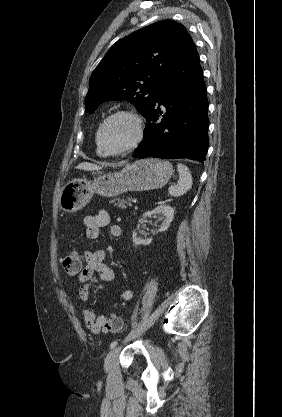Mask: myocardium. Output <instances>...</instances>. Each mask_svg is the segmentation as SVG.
I'll return each mask as SVG.
<instances>
[{"mask_svg": "<svg viewBox=\"0 0 282 417\" xmlns=\"http://www.w3.org/2000/svg\"><path fill=\"white\" fill-rule=\"evenodd\" d=\"M119 119H126L128 120L133 126V136L129 141L125 144L120 145L115 148H109L105 145V136L107 129L109 126L116 120ZM144 135L143 132V122L142 119L135 113L129 111H117L106 118V120L101 125L98 138H97V145L99 150L105 155H114L126 151L130 148L135 147L137 144L140 143Z\"/></svg>", "mask_w": 282, "mask_h": 417, "instance_id": "1", "label": "myocardium"}]
</instances>
